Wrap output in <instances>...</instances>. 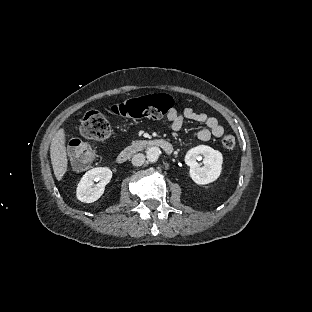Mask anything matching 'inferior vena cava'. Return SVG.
<instances>
[{
  "instance_id": "obj_1",
  "label": "inferior vena cava",
  "mask_w": 312,
  "mask_h": 312,
  "mask_svg": "<svg viewBox=\"0 0 312 312\" xmlns=\"http://www.w3.org/2000/svg\"><path fill=\"white\" fill-rule=\"evenodd\" d=\"M145 162V156L143 154H136L132 157V165L141 166Z\"/></svg>"
}]
</instances>
